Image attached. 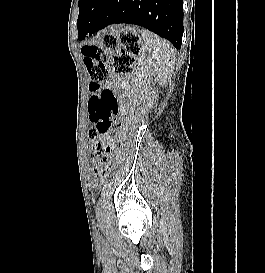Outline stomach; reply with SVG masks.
<instances>
[{"label": "stomach", "instance_id": "0dacf381", "mask_svg": "<svg viewBox=\"0 0 265 273\" xmlns=\"http://www.w3.org/2000/svg\"><path fill=\"white\" fill-rule=\"evenodd\" d=\"M114 30H139V25H114Z\"/></svg>", "mask_w": 265, "mask_h": 273}]
</instances>
